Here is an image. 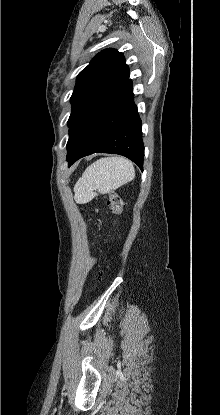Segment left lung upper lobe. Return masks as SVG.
I'll return each mask as SVG.
<instances>
[{"instance_id":"1","label":"left lung upper lobe","mask_w":220,"mask_h":415,"mask_svg":"<svg viewBox=\"0 0 220 415\" xmlns=\"http://www.w3.org/2000/svg\"><path fill=\"white\" fill-rule=\"evenodd\" d=\"M124 77H129V68L124 55L115 49L101 51L79 73L70 99L72 112L67 123L69 126L67 150L91 105L107 86Z\"/></svg>"}]
</instances>
